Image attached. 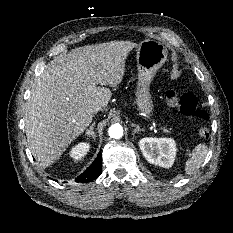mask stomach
<instances>
[{
    "label": "stomach",
    "mask_w": 233,
    "mask_h": 233,
    "mask_svg": "<svg viewBox=\"0 0 233 233\" xmlns=\"http://www.w3.org/2000/svg\"><path fill=\"white\" fill-rule=\"evenodd\" d=\"M138 81L135 92V103L140 112L153 113V101L150 94V83L158 69L167 59L166 47L155 40L146 39L136 47Z\"/></svg>",
    "instance_id": "obj_1"
}]
</instances>
